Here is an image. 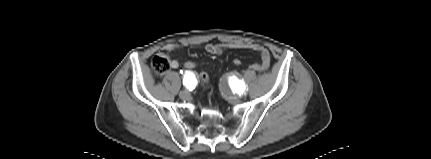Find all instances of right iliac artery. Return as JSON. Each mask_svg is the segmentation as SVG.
Instances as JSON below:
<instances>
[{
  "mask_svg": "<svg viewBox=\"0 0 431 159\" xmlns=\"http://www.w3.org/2000/svg\"><path fill=\"white\" fill-rule=\"evenodd\" d=\"M183 84L187 89L192 90L196 84L195 75L192 72L186 71L183 78Z\"/></svg>",
  "mask_w": 431,
  "mask_h": 159,
  "instance_id": "obj_1",
  "label": "right iliac artery"
}]
</instances>
